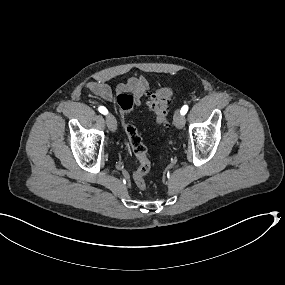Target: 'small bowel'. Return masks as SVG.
<instances>
[{
	"mask_svg": "<svg viewBox=\"0 0 285 285\" xmlns=\"http://www.w3.org/2000/svg\"><path fill=\"white\" fill-rule=\"evenodd\" d=\"M86 88L109 103H113L115 93L131 92L136 97V105H139L149 89V83L143 76H132L125 83H119L115 91L108 84L100 81H90L86 84Z\"/></svg>",
	"mask_w": 285,
	"mask_h": 285,
	"instance_id": "1",
	"label": "small bowel"
}]
</instances>
